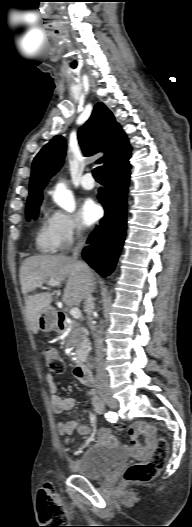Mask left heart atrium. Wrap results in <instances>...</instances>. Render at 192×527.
Masks as SVG:
<instances>
[{
	"mask_svg": "<svg viewBox=\"0 0 192 527\" xmlns=\"http://www.w3.org/2000/svg\"><path fill=\"white\" fill-rule=\"evenodd\" d=\"M80 216L84 224L92 225L100 218L101 208L92 198H86L81 203Z\"/></svg>",
	"mask_w": 192,
	"mask_h": 527,
	"instance_id": "39dd6f15",
	"label": "left heart atrium"
}]
</instances>
